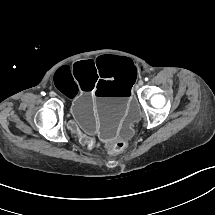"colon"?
Returning a JSON list of instances; mask_svg holds the SVG:
<instances>
[{
    "mask_svg": "<svg viewBox=\"0 0 215 215\" xmlns=\"http://www.w3.org/2000/svg\"><path fill=\"white\" fill-rule=\"evenodd\" d=\"M125 145L126 142L124 141L114 142L107 146V151L112 153L120 152L124 149Z\"/></svg>",
    "mask_w": 215,
    "mask_h": 215,
    "instance_id": "obj_1",
    "label": "colon"
}]
</instances>
